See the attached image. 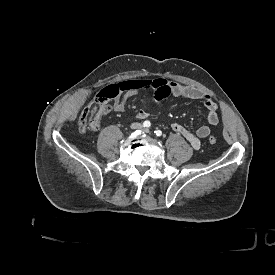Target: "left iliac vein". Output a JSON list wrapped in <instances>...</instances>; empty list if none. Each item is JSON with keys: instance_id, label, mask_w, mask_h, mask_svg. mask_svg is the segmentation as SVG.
Segmentation results:
<instances>
[{"instance_id": "4c4485c4", "label": "left iliac vein", "mask_w": 275, "mask_h": 275, "mask_svg": "<svg viewBox=\"0 0 275 275\" xmlns=\"http://www.w3.org/2000/svg\"><path fill=\"white\" fill-rule=\"evenodd\" d=\"M145 132H146V133H149V129H145Z\"/></svg>"}]
</instances>
